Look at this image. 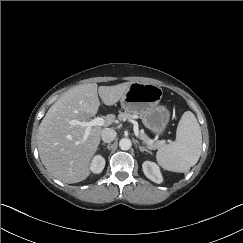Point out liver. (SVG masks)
Segmentation results:
<instances>
[{
	"label": "liver",
	"instance_id": "liver-1",
	"mask_svg": "<svg viewBox=\"0 0 243 243\" xmlns=\"http://www.w3.org/2000/svg\"><path fill=\"white\" fill-rule=\"evenodd\" d=\"M131 82L114 86L96 83L78 85L65 92L47 111L38 129V150L47 171L65 183H77L90 175V162L101 139L102 127L95 126L85 142H81L85 128L73 126L70 120L85 121L98 112L100 101L107 106L116 104ZM99 94V97H98ZM115 116L105 118L112 124Z\"/></svg>",
	"mask_w": 243,
	"mask_h": 243
}]
</instances>
